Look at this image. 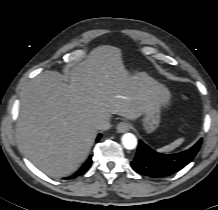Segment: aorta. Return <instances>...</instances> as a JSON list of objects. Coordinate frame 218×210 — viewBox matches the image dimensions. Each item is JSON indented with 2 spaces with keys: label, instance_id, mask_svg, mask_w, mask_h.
Here are the masks:
<instances>
[{
  "label": "aorta",
  "instance_id": "1",
  "mask_svg": "<svg viewBox=\"0 0 218 210\" xmlns=\"http://www.w3.org/2000/svg\"><path fill=\"white\" fill-rule=\"evenodd\" d=\"M122 144L126 149L132 150L137 146V138L132 133H125L122 136Z\"/></svg>",
  "mask_w": 218,
  "mask_h": 210
}]
</instances>
